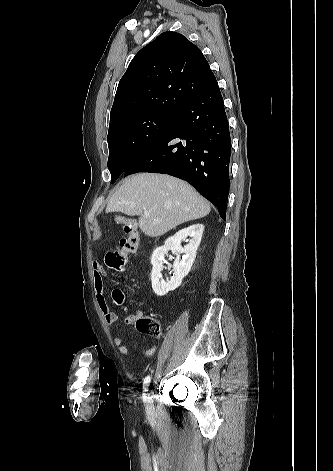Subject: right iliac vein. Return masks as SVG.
I'll list each match as a JSON object with an SVG mask.
<instances>
[{
	"mask_svg": "<svg viewBox=\"0 0 333 471\" xmlns=\"http://www.w3.org/2000/svg\"><path fill=\"white\" fill-rule=\"evenodd\" d=\"M146 396H147V398H146V408L148 410H150L151 409V393H150V391L146 393Z\"/></svg>",
	"mask_w": 333,
	"mask_h": 471,
	"instance_id": "obj_1",
	"label": "right iliac vein"
}]
</instances>
